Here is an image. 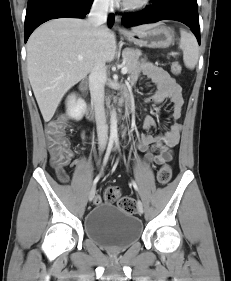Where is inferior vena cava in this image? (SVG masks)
<instances>
[{
    "label": "inferior vena cava",
    "instance_id": "1",
    "mask_svg": "<svg viewBox=\"0 0 231 281\" xmlns=\"http://www.w3.org/2000/svg\"><path fill=\"white\" fill-rule=\"evenodd\" d=\"M109 0H94L88 21L94 26L97 35L107 22ZM106 81L105 63L98 61L89 75L91 100L94 106L98 143L104 146L108 139V127L104 109V84Z\"/></svg>",
    "mask_w": 231,
    "mask_h": 281
}]
</instances>
